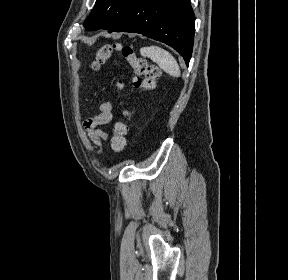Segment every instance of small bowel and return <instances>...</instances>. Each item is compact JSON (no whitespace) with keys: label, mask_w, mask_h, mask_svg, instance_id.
<instances>
[{"label":"small bowel","mask_w":288,"mask_h":280,"mask_svg":"<svg viewBox=\"0 0 288 280\" xmlns=\"http://www.w3.org/2000/svg\"><path fill=\"white\" fill-rule=\"evenodd\" d=\"M99 114L89 117L84 121V128L89 137L100 146L102 141L107 140L108 136L100 126L110 123L113 119V105L109 101H103L99 105Z\"/></svg>","instance_id":"small-bowel-1"}]
</instances>
